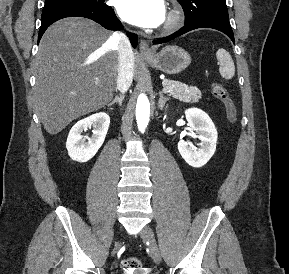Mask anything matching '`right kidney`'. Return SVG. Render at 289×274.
<instances>
[{"label": "right kidney", "instance_id": "obj_1", "mask_svg": "<svg viewBox=\"0 0 289 274\" xmlns=\"http://www.w3.org/2000/svg\"><path fill=\"white\" fill-rule=\"evenodd\" d=\"M110 124V117L104 112L95 113L78 121L70 130L66 148L70 158L77 162L92 159L102 146ZM92 129L91 137L82 136L83 131Z\"/></svg>", "mask_w": 289, "mask_h": 274}]
</instances>
